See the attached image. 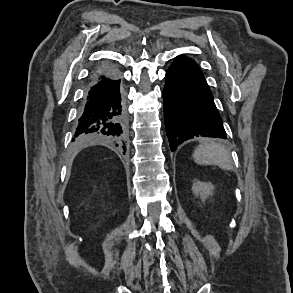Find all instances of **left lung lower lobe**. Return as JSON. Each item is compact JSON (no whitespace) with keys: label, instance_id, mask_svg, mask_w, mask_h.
<instances>
[{"label":"left lung lower lobe","instance_id":"left-lung-lower-lobe-1","mask_svg":"<svg viewBox=\"0 0 293 293\" xmlns=\"http://www.w3.org/2000/svg\"><path fill=\"white\" fill-rule=\"evenodd\" d=\"M165 78L164 119L172 152L195 136L227 138L213 95L194 60L177 56Z\"/></svg>","mask_w":293,"mask_h":293}]
</instances>
